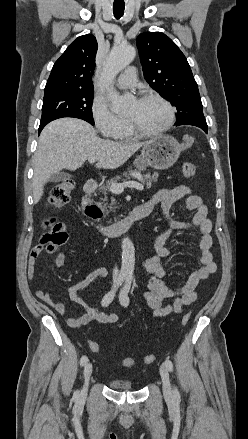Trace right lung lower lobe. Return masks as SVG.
Returning <instances> with one entry per match:
<instances>
[{"label":"right lung lower lobe","mask_w":248,"mask_h":439,"mask_svg":"<svg viewBox=\"0 0 248 439\" xmlns=\"http://www.w3.org/2000/svg\"><path fill=\"white\" fill-rule=\"evenodd\" d=\"M48 124V123H44V124H40L39 126V133L42 131V129L44 128V126Z\"/></svg>","instance_id":"right-lung-lower-lobe-1"}]
</instances>
